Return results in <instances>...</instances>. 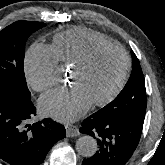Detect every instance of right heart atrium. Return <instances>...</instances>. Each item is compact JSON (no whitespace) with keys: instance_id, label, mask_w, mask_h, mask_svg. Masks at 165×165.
Here are the masks:
<instances>
[{"instance_id":"d8ad5b80","label":"right heart atrium","mask_w":165,"mask_h":165,"mask_svg":"<svg viewBox=\"0 0 165 165\" xmlns=\"http://www.w3.org/2000/svg\"><path fill=\"white\" fill-rule=\"evenodd\" d=\"M25 74L29 86L42 92L58 83V58L52 47L34 44L26 53Z\"/></svg>"}]
</instances>
